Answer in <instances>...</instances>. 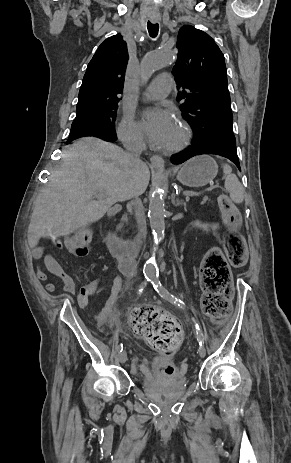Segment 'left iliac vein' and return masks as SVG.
Wrapping results in <instances>:
<instances>
[{"mask_svg": "<svg viewBox=\"0 0 291 463\" xmlns=\"http://www.w3.org/2000/svg\"><path fill=\"white\" fill-rule=\"evenodd\" d=\"M198 353H199V356H200L201 358L205 357V355H206V350H205V347H204L203 345L199 347Z\"/></svg>", "mask_w": 291, "mask_h": 463, "instance_id": "1", "label": "left iliac vein"}]
</instances>
